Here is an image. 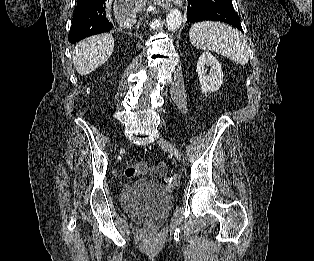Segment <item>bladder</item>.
Listing matches in <instances>:
<instances>
[{"label":"bladder","instance_id":"bladder-1","mask_svg":"<svg viewBox=\"0 0 314 261\" xmlns=\"http://www.w3.org/2000/svg\"><path fill=\"white\" fill-rule=\"evenodd\" d=\"M120 200L129 215L161 222L172 207L173 195L161 183L138 180L122 189Z\"/></svg>","mask_w":314,"mask_h":261}]
</instances>
